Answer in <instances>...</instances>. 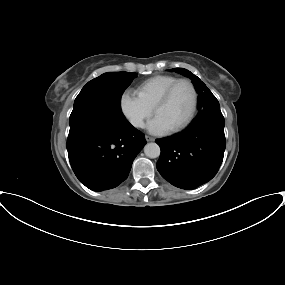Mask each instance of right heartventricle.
Instances as JSON below:
<instances>
[{
	"mask_svg": "<svg viewBox=\"0 0 285 285\" xmlns=\"http://www.w3.org/2000/svg\"><path fill=\"white\" fill-rule=\"evenodd\" d=\"M178 79L174 75H156L139 84L136 88V93L147 106L153 109L155 103L166 89Z\"/></svg>",
	"mask_w": 285,
	"mask_h": 285,
	"instance_id": "1",
	"label": "right heart ventricle"
}]
</instances>
